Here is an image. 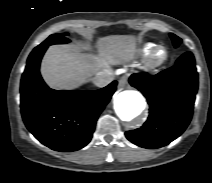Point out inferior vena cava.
Instances as JSON below:
<instances>
[{
	"label": "inferior vena cava",
	"instance_id": "1",
	"mask_svg": "<svg viewBox=\"0 0 212 183\" xmlns=\"http://www.w3.org/2000/svg\"><path fill=\"white\" fill-rule=\"evenodd\" d=\"M113 80V73L109 70L99 71L93 77V83L97 87H105Z\"/></svg>",
	"mask_w": 212,
	"mask_h": 183
}]
</instances>
